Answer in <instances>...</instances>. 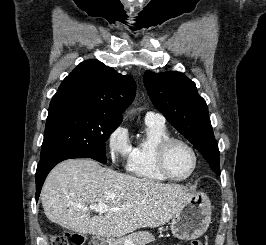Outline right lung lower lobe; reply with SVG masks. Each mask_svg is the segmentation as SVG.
<instances>
[{
	"mask_svg": "<svg viewBox=\"0 0 266 245\" xmlns=\"http://www.w3.org/2000/svg\"><path fill=\"white\" fill-rule=\"evenodd\" d=\"M71 158H88V157L73 153H58L40 160L36 171V203L38 201L44 180L48 175V173L50 172V170L59 162Z\"/></svg>",
	"mask_w": 266,
	"mask_h": 245,
	"instance_id": "obj_1",
	"label": "right lung lower lobe"
}]
</instances>
